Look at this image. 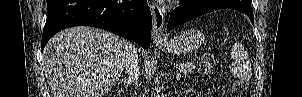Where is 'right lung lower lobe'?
<instances>
[{
    "instance_id": "1",
    "label": "right lung lower lobe",
    "mask_w": 302,
    "mask_h": 97,
    "mask_svg": "<svg viewBox=\"0 0 302 97\" xmlns=\"http://www.w3.org/2000/svg\"><path fill=\"white\" fill-rule=\"evenodd\" d=\"M88 25L113 32L148 48L152 17L146 0H48L41 51L57 32Z\"/></svg>"
}]
</instances>
